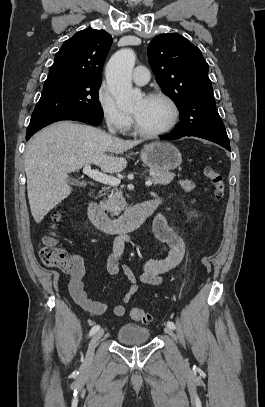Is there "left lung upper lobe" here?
Returning a JSON list of instances; mask_svg holds the SVG:
<instances>
[{
    "label": "left lung upper lobe",
    "mask_w": 265,
    "mask_h": 407,
    "mask_svg": "<svg viewBox=\"0 0 265 407\" xmlns=\"http://www.w3.org/2000/svg\"><path fill=\"white\" fill-rule=\"evenodd\" d=\"M148 59L157 83L180 111L172 133L229 144L200 49L181 35L160 34L149 43Z\"/></svg>",
    "instance_id": "left-lung-upper-lobe-1"
}]
</instances>
